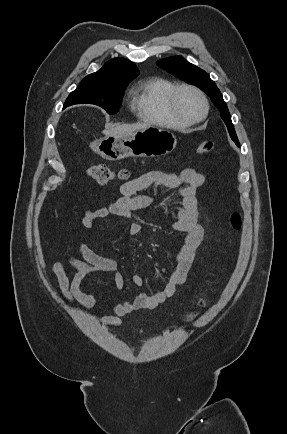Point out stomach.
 <instances>
[{
  "instance_id": "1",
  "label": "stomach",
  "mask_w": 287,
  "mask_h": 434,
  "mask_svg": "<svg viewBox=\"0 0 287 434\" xmlns=\"http://www.w3.org/2000/svg\"><path fill=\"white\" fill-rule=\"evenodd\" d=\"M176 137L168 130L149 126L131 135H109L92 143L103 159L118 161L127 157H156L172 152Z\"/></svg>"
}]
</instances>
